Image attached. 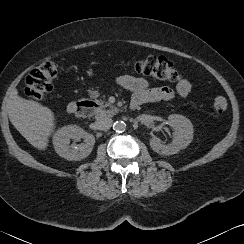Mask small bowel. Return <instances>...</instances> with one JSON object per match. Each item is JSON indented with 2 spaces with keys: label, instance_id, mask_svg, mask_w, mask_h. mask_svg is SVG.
<instances>
[{
  "label": "small bowel",
  "instance_id": "obj_1",
  "mask_svg": "<svg viewBox=\"0 0 244 244\" xmlns=\"http://www.w3.org/2000/svg\"><path fill=\"white\" fill-rule=\"evenodd\" d=\"M116 83L134 93L131 105L135 108H139L146 103L168 101L173 99L176 95L185 99L191 90V84L186 78L180 80L176 84L175 89L166 86L151 88L146 79L131 75L117 77Z\"/></svg>",
  "mask_w": 244,
  "mask_h": 244
}]
</instances>
